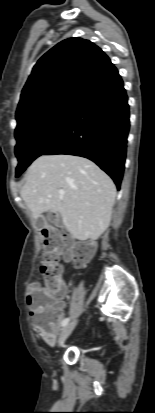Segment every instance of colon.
Instances as JSON below:
<instances>
[{
	"label": "colon",
	"instance_id": "obj_1",
	"mask_svg": "<svg viewBox=\"0 0 155 413\" xmlns=\"http://www.w3.org/2000/svg\"><path fill=\"white\" fill-rule=\"evenodd\" d=\"M49 224L43 228V244L47 251L40 264L44 285L48 291L59 296L63 290L62 268L59 263L61 253L64 249L69 250V257L83 265L92 255L91 247L86 243H75L71 237L59 232L54 225L53 217L47 215ZM36 309L39 313V322L44 325L53 315L54 307L49 302V297L39 294L36 297Z\"/></svg>",
	"mask_w": 155,
	"mask_h": 413
}]
</instances>
